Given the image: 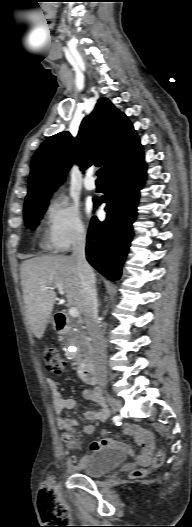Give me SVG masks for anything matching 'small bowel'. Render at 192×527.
Segmentation results:
<instances>
[{
    "instance_id": "obj_1",
    "label": "small bowel",
    "mask_w": 192,
    "mask_h": 527,
    "mask_svg": "<svg viewBox=\"0 0 192 527\" xmlns=\"http://www.w3.org/2000/svg\"><path fill=\"white\" fill-rule=\"evenodd\" d=\"M48 387L52 393V404L55 413L58 415L57 418V427L60 430L68 431L77 425V420L71 418H64L60 415L62 412L71 410L75 407L76 401L70 397H63L60 393L57 383L52 378H47ZM83 397L87 400H90L98 405L99 409L97 411L88 410L84 413V417L87 420H100L106 421L109 416V410L105 405V402L102 398L101 392L98 388H87L83 391ZM82 431L85 434H92L95 431V425L87 424L83 427ZM123 433L130 436L133 441L140 447L141 451L137 455V460L140 462V467L142 469H147L149 467V461L154 452V438L152 434L136 425L126 424L123 426ZM101 447H115L122 451L131 452V449L128 445L114 441L112 439H102L95 441L92 444V448H101Z\"/></svg>"
}]
</instances>
